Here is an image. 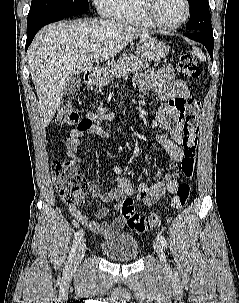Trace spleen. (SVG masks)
I'll list each match as a JSON object with an SVG mask.
<instances>
[{"instance_id":"1","label":"spleen","mask_w":239,"mask_h":303,"mask_svg":"<svg viewBox=\"0 0 239 303\" xmlns=\"http://www.w3.org/2000/svg\"><path fill=\"white\" fill-rule=\"evenodd\" d=\"M194 53L201 61H206L205 55L198 48H194Z\"/></svg>"}]
</instances>
